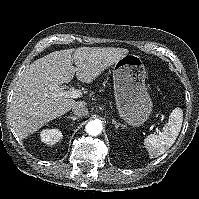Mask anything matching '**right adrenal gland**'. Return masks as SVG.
<instances>
[{"instance_id": "1", "label": "right adrenal gland", "mask_w": 199, "mask_h": 199, "mask_svg": "<svg viewBox=\"0 0 199 199\" xmlns=\"http://www.w3.org/2000/svg\"><path fill=\"white\" fill-rule=\"evenodd\" d=\"M68 119H71L73 121H76L78 119V117L75 116H67Z\"/></svg>"}]
</instances>
